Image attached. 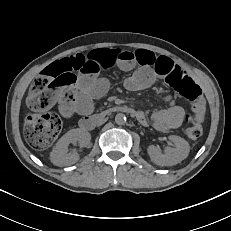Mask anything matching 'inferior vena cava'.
<instances>
[{"instance_id": "obj_1", "label": "inferior vena cava", "mask_w": 231, "mask_h": 231, "mask_svg": "<svg viewBox=\"0 0 231 231\" xmlns=\"http://www.w3.org/2000/svg\"><path fill=\"white\" fill-rule=\"evenodd\" d=\"M111 121V116H106V117H103L101 119V121H99L97 123L98 125V128H104V125H106L107 122Z\"/></svg>"}]
</instances>
